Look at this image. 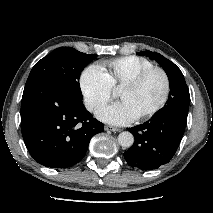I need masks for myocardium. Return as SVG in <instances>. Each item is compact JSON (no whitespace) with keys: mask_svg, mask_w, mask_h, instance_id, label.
<instances>
[{"mask_svg":"<svg viewBox=\"0 0 213 213\" xmlns=\"http://www.w3.org/2000/svg\"><path fill=\"white\" fill-rule=\"evenodd\" d=\"M153 73H159L163 77L164 84H165L164 93H163V96H162L161 100L153 108H151L150 110H148L145 113L141 114L140 116L136 117V120H139V121L145 120V119H148V118L154 116L158 111H160L164 107V105L168 101L169 96H170V92H171V82H170L169 75L162 68L152 67V68L146 69V70L138 73L137 75H135L134 77H132L131 79L126 81L120 88V89H123V88H134V87H137L149 75H151Z\"/></svg>","mask_w":213,"mask_h":213,"instance_id":"obj_1","label":"myocardium"}]
</instances>
